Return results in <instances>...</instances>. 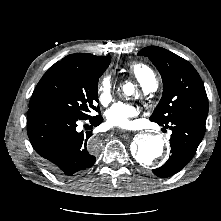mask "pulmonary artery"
<instances>
[{"instance_id": "e3ab8cb5", "label": "pulmonary artery", "mask_w": 221, "mask_h": 221, "mask_svg": "<svg viewBox=\"0 0 221 221\" xmlns=\"http://www.w3.org/2000/svg\"><path fill=\"white\" fill-rule=\"evenodd\" d=\"M157 86H158V84H157V81H156V79H155V80H153V81L149 84V86L147 87V91L153 92V91H155V90L157 89Z\"/></svg>"}]
</instances>
